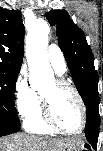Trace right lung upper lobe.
Instances as JSON below:
<instances>
[{"instance_id": "right-lung-upper-lobe-1", "label": "right lung upper lobe", "mask_w": 103, "mask_h": 151, "mask_svg": "<svg viewBox=\"0 0 103 151\" xmlns=\"http://www.w3.org/2000/svg\"><path fill=\"white\" fill-rule=\"evenodd\" d=\"M24 34L21 12L0 7V65L21 67Z\"/></svg>"}]
</instances>
